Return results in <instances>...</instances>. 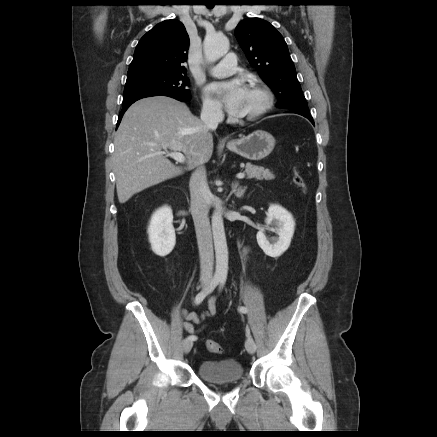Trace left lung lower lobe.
I'll return each mask as SVG.
<instances>
[{"label":"left lung lower lobe","mask_w":437,"mask_h":437,"mask_svg":"<svg viewBox=\"0 0 437 437\" xmlns=\"http://www.w3.org/2000/svg\"><path fill=\"white\" fill-rule=\"evenodd\" d=\"M288 113H297V114H300V115L306 117L314 125V121H313V118L310 115V113H304V112H300V111H288Z\"/></svg>","instance_id":"left-lung-lower-lobe-1"}]
</instances>
